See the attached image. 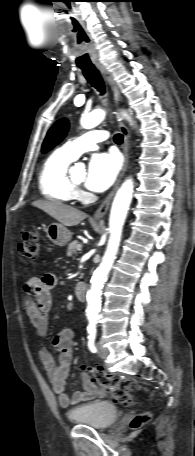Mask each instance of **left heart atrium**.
Masks as SVG:
<instances>
[{
  "label": "left heart atrium",
  "instance_id": "39dd6f15",
  "mask_svg": "<svg viewBox=\"0 0 195 456\" xmlns=\"http://www.w3.org/2000/svg\"><path fill=\"white\" fill-rule=\"evenodd\" d=\"M120 167L121 161L114 153L94 155L88 164L85 186L96 192L106 190L115 181Z\"/></svg>",
  "mask_w": 195,
  "mask_h": 456
}]
</instances>
